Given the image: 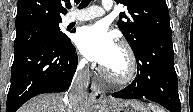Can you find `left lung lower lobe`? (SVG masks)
<instances>
[{"mask_svg": "<svg viewBox=\"0 0 193 112\" xmlns=\"http://www.w3.org/2000/svg\"><path fill=\"white\" fill-rule=\"evenodd\" d=\"M138 73L126 88L112 94L123 99L147 98L170 112H181L171 31L153 35L134 51Z\"/></svg>", "mask_w": 193, "mask_h": 112, "instance_id": "1", "label": "left lung lower lobe"}]
</instances>
